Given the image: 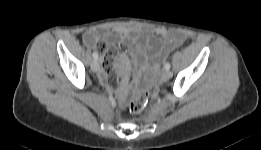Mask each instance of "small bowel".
Listing matches in <instances>:
<instances>
[{
    "mask_svg": "<svg viewBox=\"0 0 261 150\" xmlns=\"http://www.w3.org/2000/svg\"><path fill=\"white\" fill-rule=\"evenodd\" d=\"M185 39V34L177 30L142 26H115L102 31L89 29L83 34L84 44L90 48H97L103 55L105 72L102 71L100 76L113 87L119 83L113 71V54L108 50L114 43L121 42L129 48L132 82L137 80L141 70H145L148 80L153 82L158 75V60L165 59Z\"/></svg>",
    "mask_w": 261,
    "mask_h": 150,
    "instance_id": "c3829d8e",
    "label": "small bowel"
}]
</instances>
